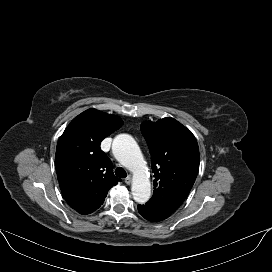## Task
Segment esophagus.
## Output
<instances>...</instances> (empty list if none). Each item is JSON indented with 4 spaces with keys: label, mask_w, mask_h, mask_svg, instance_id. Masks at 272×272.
<instances>
[{
    "label": "esophagus",
    "mask_w": 272,
    "mask_h": 272,
    "mask_svg": "<svg viewBox=\"0 0 272 272\" xmlns=\"http://www.w3.org/2000/svg\"><path fill=\"white\" fill-rule=\"evenodd\" d=\"M131 181H132L131 175H128V176L124 179V182H125L126 184H130Z\"/></svg>",
    "instance_id": "1"
}]
</instances>
